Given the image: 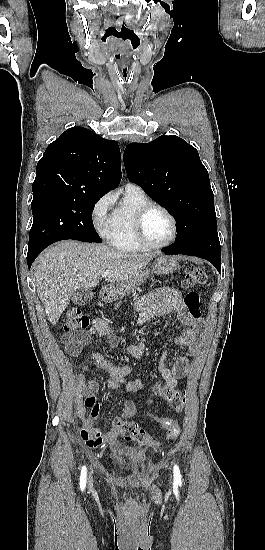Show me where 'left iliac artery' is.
I'll use <instances>...</instances> for the list:
<instances>
[{
  "label": "left iliac artery",
  "mask_w": 265,
  "mask_h": 550,
  "mask_svg": "<svg viewBox=\"0 0 265 550\" xmlns=\"http://www.w3.org/2000/svg\"><path fill=\"white\" fill-rule=\"evenodd\" d=\"M173 473H174V483L177 485H181L182 484L181 474H180L179 467L177 465H174Z\"/></svg>",
  "instance_id": "left-iliac-artery-1"
}]
</instances>
